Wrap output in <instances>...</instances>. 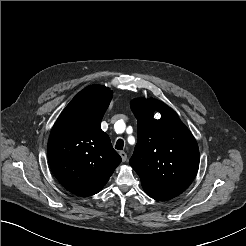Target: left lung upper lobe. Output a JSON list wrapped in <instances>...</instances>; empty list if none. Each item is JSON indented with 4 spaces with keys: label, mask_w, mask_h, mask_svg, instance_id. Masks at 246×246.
Here are the masks:
<instances>
[{
    "label": "left lung upper lobe",
    "mask_w": 246,
    "mask_h": 246,
    "mask_svg": "<svg viewBox=\"0 0 246 246\" xmlns=\"http://www.w3.org/2000/svg\"><path fill=\"white\" fill-rule=\"evenodd\" d=\"M131 109L138 121V142L129 164L143 187L178 196L194 180L199 149L178 115L158 100L134 99ZM154 111L161 114L154 118Z\"/></svg>",
    "instance_id": "obj_1"
}]
</instances>
